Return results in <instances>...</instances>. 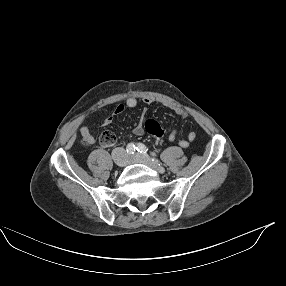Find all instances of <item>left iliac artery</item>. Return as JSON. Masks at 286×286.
I'll return each mask as SVG.
<instances>
[{"label": "left iliac artery", "mask_w": 286, "mask_h": 286, "mask_svg": "<svg viewBox=\"0 0 286 286\" xmlns=\"http://www.w3.org/2000/svg\"><path fill=\"white\" fill-rule=\"evenodd\" d=\"M136 150L140 153L146 154L148 152V148L142 144V143H138L136 146ZM153 161L159 162L157 159L152 158Z\"/></svg>", "instance_id": "1"}]
</instances>
